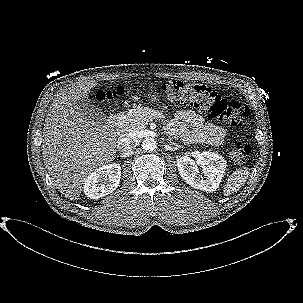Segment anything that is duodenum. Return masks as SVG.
Segmentation results:
<instances>
[{
    "label": "duodenum",
    "instance_id": "obj_1",
    "mask_svg": "<svg viewBox=\"0 0 303 303\" xmlns=\"http://www.w3.org/2000/svg\"><path fill=\"white\" fill-rule=\"evenodd\" d=\"M117 121H118V117H117V116H112V117L108 120L107 125H108L109 127H114V126H116Z\"/></svg>",
    "mask_w": 303,
    "mask_h": 303
}]
</instances>
